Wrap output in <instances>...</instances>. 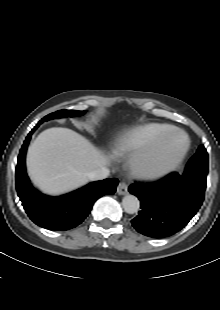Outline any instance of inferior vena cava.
<instances>
[{"label":"inferior vena cava","instance_id":"inferior-vena-cava-1","mask_svg":"<svg viewBox=\"0 0 220 310\" xmlns=\"http://www.w3.org/2000/svg\"><path fill=\"white\" fill-rule=\"evenodd\" d=\"M109 169L106 168V167H101V168H98L92 172H89L87 174V177L89 180H92V181H95V180H102V179H105L109 176Z\"/></svg>","mask_w":220,"mask_h":310}]
</instances>
